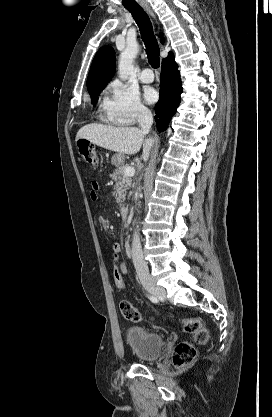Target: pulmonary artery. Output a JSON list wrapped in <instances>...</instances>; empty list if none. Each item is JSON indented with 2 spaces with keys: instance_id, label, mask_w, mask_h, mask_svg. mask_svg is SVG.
Returning a JSON list of instances; mask_svg holds the SVG:
<instances>
[{
  "instance_id": "obj_1",
  "label": "pulmonary artery",
  "mask_w": 272,
  "mask_h": 417,
  "mask_svg": "<svg viewBox=\"0 0 272 417\" xmlns=\"http://www.w3.org/2000/svg\"><path fill=\"white\" fill-rule=\"evenodd\" d=\"M139 78L143 83H151L154 80V75L151 69L145 68L142 70Z\"/></svg>"
}]
</instances>
